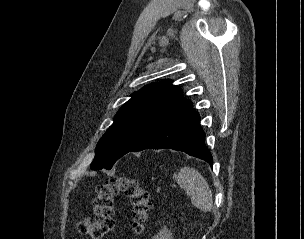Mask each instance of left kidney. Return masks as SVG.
Returning <instances> with one entry per match:
<instances>
[{
  "label": "left kidney",
  "instance_id": "1",
  "mask_svg": "<svg viewBox=\"0 0 304 239\" xmlns=\"http://www.w3.org/2000/svg\"><path fill=\"white\" fill-rule=\"evenodd\" d=\"M152 239H173V237H172L171 231L169 229H167L166 227H164Z\"/></svg>",
  "mask_w": 304,
  "mask_h": 239
}]
</instances>
